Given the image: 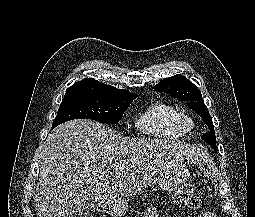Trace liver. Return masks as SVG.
I'll return each instance as SVG.
<instances>
[{
	"label": "liver",
	"instance_id": "6515ba94",
	"mask_svg": "<svg viewBox=\"0 0 255 217\" xmlns=\"http://www.w3.org/2000/svg\"><path fill=\"white\" fill-rule=\"evenodd\" d=\"M201 156L191 145L128 138L91 120L63 123L42 148L34 196L37 217H69L80 201L104 203L132 196L166 168Z\"/></svg>",
	"mask_w": 255,
	"mask_h": 217
}]
</instances>
